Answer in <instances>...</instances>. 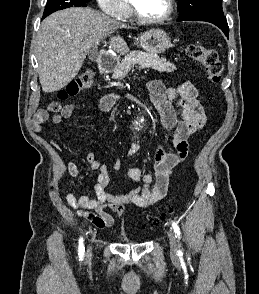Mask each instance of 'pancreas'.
<instances>
[{"label":"pancreas","instance_id":"obj_1","mask_svg":"<svg viewBox=\"0 0 259 294\" xmlns=\"http://www.w3.org/2000/svg\"><path fill=\"white\" fill-rule=\"evenodd\" d=\"M136 65H138L139 68H152L159 72L169 73L176 70V67L165 58L142 51H132L127 54L117 66L113 73V78L116 80L124 79L130 70H134V66Z\"/></svg>","mask_w":259,"mask_h":294}]
</instances>
